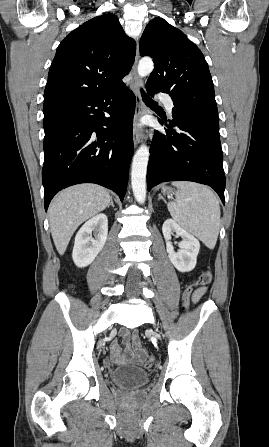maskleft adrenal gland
Instances as JSON below:
<instances>
[{
	"mask_svg": "<svg viewBox=\"0 0 269 447\" xmlns=\"http://www.w3.org/2000/svg\"><path fill=\"white\" fill-rule=\"evenodd\" d=\"M158 200H164V198H163V196H161V194H159ZM164 202H166V200H164Z\"/></svg>",
	"mask_w": 269,
	"mask_h": 447,
	"instance_id": "a2214340",
	"label": "left adrenal gland"
}]
</instances>
